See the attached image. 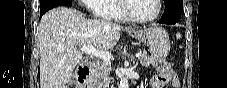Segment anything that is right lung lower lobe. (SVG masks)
Here are the masks:
<instances>
[{
    "instance_id": "obj_1",
    "label": "right lung lower lobe",
    "mask_w": 227,
    "mask_h": 88,
    "mask_svg": "<svg viewBox=\"0 0 227 88\" xmlns=\"http://www.w3.org/2000/svg\"><path fill=\"white\" fill-rule=\"evenodd\" d=\"M43 14H44V12H40V17H42Z\"/></svg>"
}]
</instances>
